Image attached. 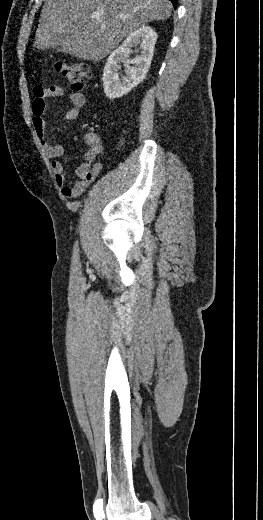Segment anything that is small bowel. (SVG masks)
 <instances>
[{
  "label": "small bowel",
  "mask_w": 263,
  "mask_h": 520,
  "mask_svg": "<svg viewBox=\"0 0 263 520\" xmlns=\"http://www.w3.org/2000/svg\"><path fill=\"white\" fill-rule=\"evenodd\" d=\"M33 94V127L46 156L51 159L55 180L64 196L69 198L77 197L95 180L102 169L101 163L97 160L102 152L100 138L95 133L86 135L88 149L85 153L84 161L75 170L76 179H69L64 171L63 164L59 160V157L64 152V148L61 144L53 143L47 138L43 117L47 107V100L62 97L65 91L59 85H52L48 88L37 85L33 89ZM68 100L70 108L64 113L63 118L67 121H74L78 118L80 110L86 104V97L82 93L74 92L68 95Z\"/></svg>",
  "instance_id": "1"
}]
</instances>
